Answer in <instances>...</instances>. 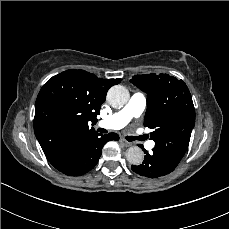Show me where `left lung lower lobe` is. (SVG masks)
Segmentation results:
<instances>
[{"instance_id": "0a47b994", "label": "left lung lower lobe", "mask_w": 229, "mask_h": 229, "mask_svg": "<svg viewBox=\"0 0 229 229\" xmlns=\"http://www.w3.org/2000/svg\"><path fill=\"white\" fill-rule=\"evenodd\" d=\"M144 152L146 153V156L142 164L131 166L135 173L148 178H159L171 173L175 169L164 163L159 158L155 149H153L152 154H149L146 150H144Z\"/></svg>"}]
</instances>
